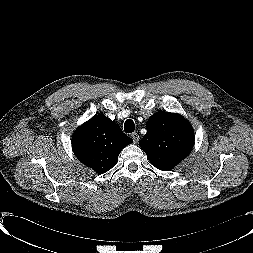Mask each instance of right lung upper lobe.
<instances>
[{"label":"right lung upper lobe","instance_id":"cb5924a9","mask_svg":"<svg viewBox=\"0 0 253 253\" xmlns=\"http://www.w3.org/2000/svg\"><path fill=\"white\" fill-rule=\"evenodd\" d=\"M132 142L116 123L99 114L76 129L72 147L84 165L103 174L116 165L120 151Z\"/></svg>","mask_w":253,"mask_h":253}]
</instances>
